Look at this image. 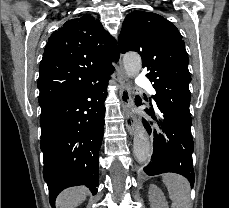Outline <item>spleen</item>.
Segmentation results:
<instances>
[{
  "label": "spleen",
  "instance_id": "obj_1",
  "mask_svg": "<svg viewBox=\"0 0 229 208\" xmlns=\"http://www.w3.org/2000/svg\"><path fill=\"white\" fill-rule=\"evenodd\" d=\"M172 202V208H192L190 200V184L178 174H164L162 178Z\"/></svg>",
  "mask_w": 229,
  "mask_h": 208
}]
</instances>
